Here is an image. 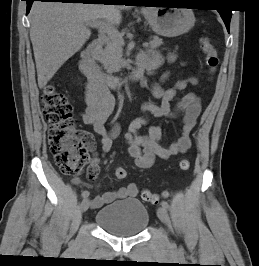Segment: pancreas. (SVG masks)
<instances>
[{"label": "pancreas", "mask_w": 259, "mask_h": 266, "mask_svg": "<svg viewBox=\"0 0 259 266\" xmlns=\"http://www.w3.org/2000/svg\"><path fill=\"white\" fill-rule=\"evenodd\" d=\"M163 44L161 38L154 36L150 42V47L156 49ZM123 39L109 37L105 49L98 57V61L103 65L107 73L119 72L126 65L123 57Z\"/></svg>", "instance_id": "cf45deb5"}]
</instances>
